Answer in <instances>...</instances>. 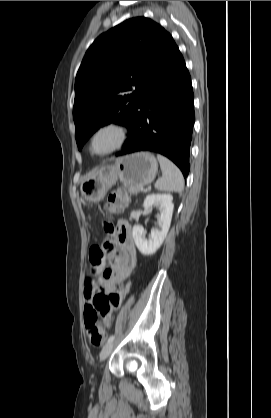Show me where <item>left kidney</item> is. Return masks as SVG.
Wrapping results in <instances>:
<instances>
[{"mask_svg":"<svg viewBox=\"0 0 271 418\" xmlns=\"http://www.w3.org/2000/svg\"><path fill=\"white\" fill-rule=\"evenodd\" d=\"M173 197L170 194H151L143 202L146 211L152 209L154 204L159 206L160 214L157 215L158 226L151 230L149 239L145 238V232L141 225H134L132 235L139 251L145 255H153L162 245L170 228L173 208Z\"/></svg>","mask_w":271,"mask_h":418,"instance_id":"left-kidney-1","label":"left kidney"}]
</instances>
